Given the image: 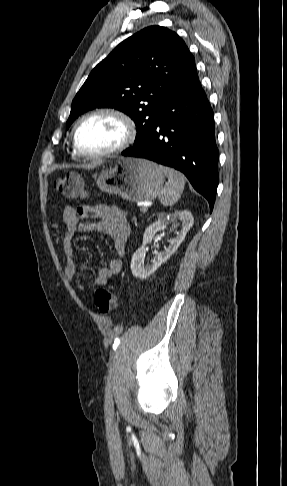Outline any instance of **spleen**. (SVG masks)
Masks as SVG:
<instances>
[{"label": "spleen", "mask_w": 287, "mask_h": 486, "mask_svg": "<svg viewBox=\"0 0 287 486\" xmlns=\"http://www.w3.org/2000/svg\"><path fill=\"white\" fill-rule=\"evenodd\" d=\"M164 175L167 176L168 182L159 194V200L164 206L174 205L181 197L184 190V176L171 168L160 166Z\"/></svg>", "instance_id": "obj_1"}]
</instances>
